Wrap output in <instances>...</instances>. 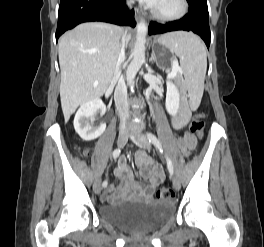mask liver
Masks as SVG:
<instances>
[{
	"label": "liver",
	"instance_id": "liver-1",
	"mask_svg": "<svg viewBox=\"0 0 264 247\" xmlns=\"http://www.w3.org/2000/svg\"><path fill=\"white\" fill-rule=\"evenodd\" d=\"M131 35L108 23H82L59 40L60 97L65 122L78 106L99 99L108 88L122 40Z\"/></svg>",
	"mask_w": 264,
	"mask_h": 247
}]
</instances>
